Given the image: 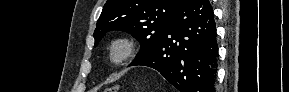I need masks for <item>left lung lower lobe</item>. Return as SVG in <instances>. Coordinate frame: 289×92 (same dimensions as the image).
<instances>
[{"label": "left lung lower lobe", "mask_w": 289, "mask_h": 92, "mask_svg": "<svg viewBox=\"0 0 289 92\" xmlns=\"http://www.w3.org/2000/svg\"><path fill=\"white\" fill-rule=\"evenodd\" d=\"M217 54L209 0H184L156 49L131 65L156 69L180 92H215Z\"/></svg>", "instance_id": "left-lung-lower-lobe-1"}]
</instances>
